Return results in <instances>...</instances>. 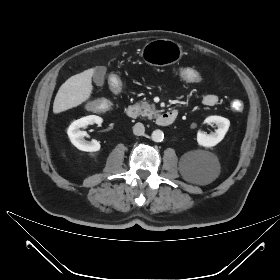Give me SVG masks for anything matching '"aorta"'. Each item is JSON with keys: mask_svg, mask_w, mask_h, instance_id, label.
Returning a JSON list of instances; mask_svg holds the SVG:
<instances>
[{"mask_svg": "<svg viewBox=\"0 0 280 280\" xmlns=\"http://www.w3.org/2000/svg\"><path fill=\"white\" fill-rule=\"evenodd\" d=\"M151 138L154 142H161L164 138V133L159 129L154 130L151 134Z\"/></svg>", "mask_w": 280, "mask_h": 280, "instance_id": "1", "label": "aorta"}]
</instances>
